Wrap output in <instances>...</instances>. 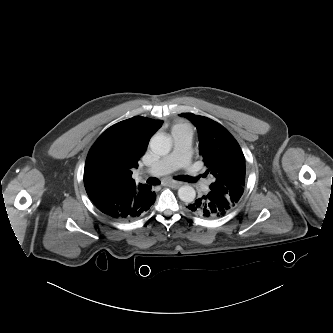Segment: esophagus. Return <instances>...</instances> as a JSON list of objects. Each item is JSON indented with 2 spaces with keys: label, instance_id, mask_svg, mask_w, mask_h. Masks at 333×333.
<instances>
[{
  "label": "esophagus",
  "instance_id": "1",
  "mask_svg": "<svg viewBox=\"0 0 333 333\" xmlns=\"http://www.w3.org/2000/svg\"><path fill=\"white\" fill-rule=\"evenodd\" d=\"M164 185L168 186V187H171V188L177 189V188H179L181 186V183L177 182V181L168 180V181L164 182Z\"/></svg>",
  "mask_w": 333,
  "mask_h": 333
}]
</instances>
